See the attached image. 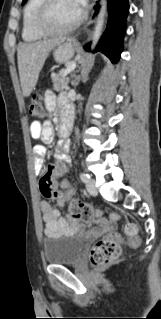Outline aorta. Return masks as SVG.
I'll return each instance as SVG.
<instances>
[{
    "mask_svg": "<svg viewBox=\"0 0 161 319\" xmlns=\"http://www.w3.org/2000/svg\"><path fill=\"white\" fill-rule=\"evenodd\" d=\"M106 4H107V0L100 1L101 7H100L99 14L97 16V20H96V24H95L93 43L91 46L92 49L97 44L98 39L100 38V35L102 33V29L104 26V20H105V14H106Z\"/></svg>",
    "mask_w": 161,
    "mask_h": 319,
    "instance_id": "762f6f07",
    "label": "aorta"
}]
</instances>
